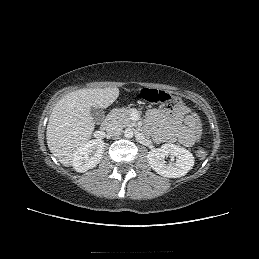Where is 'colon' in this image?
<instances>
[{"label": "colon", "mask_w": 259, "mask_h": 259, "mask_svg": "<svg viewBox=\"0 0 259 259\" xmlns=\"http://www.w3.org/2000/svg\"><path fill=\"white\" fill-rule=\"evenodd\" d=\"M140 95L143 100L149 103L157 104H167L170 102H175L176 105L181 106L184 103L183 98L172 95L166 91L157 90V89H149L145 88L142 89L140 92ZM191 114V124L193 126V134H194V140L195 142H201L204 139V135L202 133V125L200 123V118L197 115V112L195 109H190ZM197 157L200 159H204L207 156V151L203 148H200L197 150Z\"/></svg>", "instance_id": "colon-1"}]
</instances>
